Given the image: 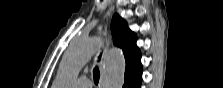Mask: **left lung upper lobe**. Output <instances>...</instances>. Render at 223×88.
Returning <instances> with one entry per match:
<instances>
[{"label": "left lung upper lobe", "instance_id": "obj_1", "mask_svg": "<svg viewBox=\"0 0 223 88\" xmlns=\"http://www.w3.org/2000/svg\"><path fill=\"white\" fill-rule=\"evenodd\" d=\"M111 32L113 43L122 48L126 60V67L141 65V55L136 46V36L130 31L118 14L111 21Z\"/></svg>", "mask_w": 223, "mask_h": 88}]
</instances>
